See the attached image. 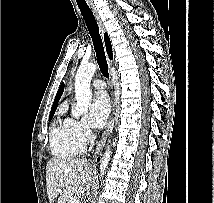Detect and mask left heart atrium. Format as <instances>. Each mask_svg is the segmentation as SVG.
<instances>
[{"instance_id": "1", "label": "left heart atrium", "mask_w": 214, "mask_h": 203, "mask_svg": "<svg viewBox=\"0 0 214 203\" xmlns=\"http://www.w3.org/2000/svg\"><path fill=\"white\" fill-rule=\"evenodd\" d=\"M110 103L105 93H98L93 100L90 110L89 119L94 127H102L109 115Z\"/></svg>"}]
</instances>
